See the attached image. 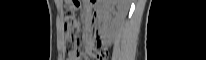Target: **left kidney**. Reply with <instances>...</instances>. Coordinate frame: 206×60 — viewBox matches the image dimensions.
<instances>
[{
	"instance_id": "1",
	"label": "left kidney",
	"mask_w": 206,
	"mask_h": 60,
	"mask_svg": "<svg viewBox=\"0 0 206 60\" xmlns=\"http://www.w3.org/2000/svg\"><path fill=\"white\" fill-rule=\"evenodd\" d=\"M127 11V0H99V33L105 43H111L115 29L124 19Z\"/></svg>"
}]
</instances>
